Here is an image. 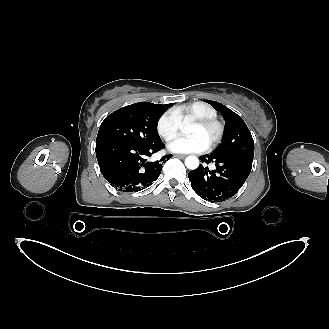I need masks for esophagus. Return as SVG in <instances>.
I'll return each instance as SVG.
<instances>
[{
	"mask_svg": "<svg viewBox=\"0 0 329 329\" xmlns=\"http://www.w3.org/2000/svg\"><path fill=\"white\" fill-rule=\"evenodd\" d=\"M175 156L178 157V158H185L186 157L185 155H180V154H176Z\"/></svg>",
	"mask_w": 329,
	"mask_h": 329,
	"instance_id": "esophagus-1",
	"label": "esophagus"
}]
</instances>
